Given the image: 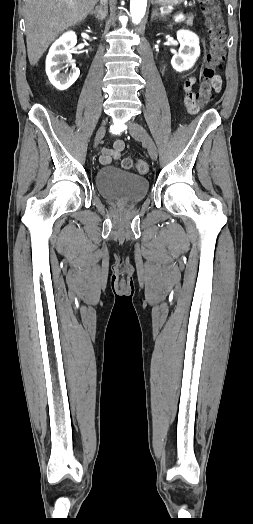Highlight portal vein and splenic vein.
I'll return each mask as SVG.
<instances>
[{
    "instance_id": "portal-vein-and-splenic-vein-1",
    "label": "portal vein and splenic vein",
    "mask_w": 253,
    "mask_h": 524,
    "mask_svg": "<svg viewBox=\"0 0 253 524\" xmlns=\"http://www.w3.org/2000/svg\"><path fill=\"white\" fill-rule=\"evenodd\" d=\"M184 18V14L181 12L175 17V21H181Z\"/></svg>"
}]
</instances>
